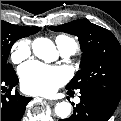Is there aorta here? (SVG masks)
<instances>
[{
  "label": "aorta",
  "instance_id": "obj_1",
  "mask_svg": "<svg viewBox=\"0 0 121 121\" xmlns=\"http://www.w3.org/2000/svg\"><path fill=\"white\" fill-rule=\"evenodd\" d=\"M34 54L45 61H52L57 56L54 43L47 38H36L32 43ZM55 113L59 118L65 119L71 113V104L68 102H60L55 106Z\"/></svg>",
  "mask_w": 121,
  "mask_h": 121
}]
</instances>
